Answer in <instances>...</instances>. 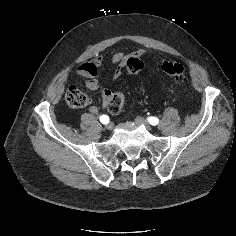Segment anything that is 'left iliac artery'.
<instances>
[{
  "instance_id": "1",
  "label": "left iliac artery",
  "mask_w": 236,
  "mask_h": 236,
  "mask_svg": "<svg viewBox=\"0 0 236 236\" xmlns=\"http://www.w3.org/2000/svg\"><path fill=\"white\" fill-rule=\"evenodd\" d=\"M147 120L153 126H155L159 123V119L157 117H154V116L148 117Z\"/></svg>"
}]
</instances>
